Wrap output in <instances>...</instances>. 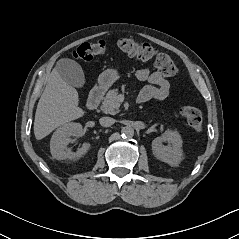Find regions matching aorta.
Listing matches in <instances>:
<instances>
[{"label":"aorta","mask_w":239,"mask_h":239,"mask_svg":"<svg viewBox=\"0 0 239 239\" xmlns=\"http://www.w3.org/2000/svg\"><path fill=\"white\" fill-rule=\"evenodd\" d=\"M122 135L126 138H132L134 136V129L130 126L122 128Z\"/></svg>","instance_id":"1"}]
</instances>
